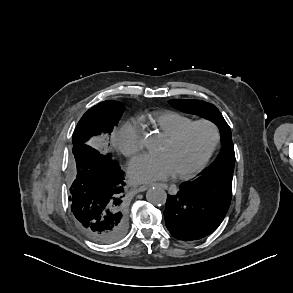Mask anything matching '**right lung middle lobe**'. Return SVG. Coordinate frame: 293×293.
Here are the masks:
<instances>
[{"instance_id":"right-lung-middle-lobe-1","label":"right lung middle lobe","mask_w":293,"mask_h":293,"mask_svg":"<svg viewBox=\"0 0 293 293\" xmlns=\"http://www.w3.org/2000/svg\"><path fill=\"white\" fill-rule=\"evenodd\" d=\"M123 105L116 101H104L89 109L78 122L73 133L74 144L86 143L102 132L110 133L119 122Z\"/></svg>"}]
</instances>
